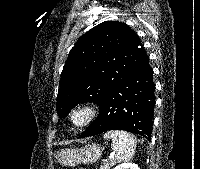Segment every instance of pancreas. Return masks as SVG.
Returning a JSON list of instances; mask_svg holds the SVG:
<instances>
[{
  "label": "pancreas",
  "instance_id": "cf45deb5",
  "mask_svg": "<svg viewBox=\"0 0 200 169\" xmlns=\"http://www.w3.org/2000/svg\"><path fill=\"white\" fill-rule=\"evenodd\" d=\"M117 163V159H111L110 161L104 162L99 169H110Z\"/></svg>",
  "mask_w": 200,
  "mask_h": 169
}]
</instances>
